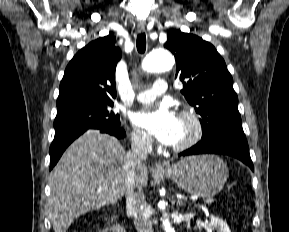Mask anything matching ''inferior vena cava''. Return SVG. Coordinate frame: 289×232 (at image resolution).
<instances>
[{"instance_id":"obj_1","label":"inferior vena cava","mask_w":289,"mask_h":232,"mask_svg":"<svg viewBox=\"0 0 289 232\" xmlns=\"http://www.w3.org/2000/svg\"><path fill=\"white\" fill-rule=\"evenodd\" d=\"M151 148V137L146 134H138L132 138L131 151L126 154V211L127 214L134 217L137 232H153L148 205L135 175V169L142 166V162L146 160Z\"/></svg>"}]
</instances>
